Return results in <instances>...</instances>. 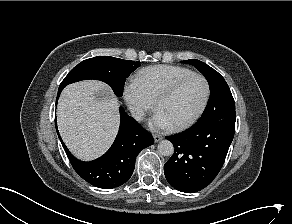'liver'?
<instances>
[{
	"instance_id": "liver-1",
	"label": "liver",
	"mask_w": 292,
	"mask_h": 224,
	"mask_svg": "<svg viewBox=\"0 0 292 224\" xmlns=\"http://www.w3.org/2000/svg\"><path fill=\"white\" fill-rule=\"evenodd\" d=\"M57 122L69 150L81 160H92L111 145L119 124L118 99L104 83L87 80L62 91Z\"/></svg>"
}]
</instances>
